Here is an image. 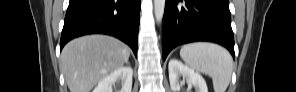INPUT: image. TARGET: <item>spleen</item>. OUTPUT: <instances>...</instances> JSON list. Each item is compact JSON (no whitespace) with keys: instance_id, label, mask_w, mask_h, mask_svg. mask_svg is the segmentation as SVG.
Listing matches in <instances>:
<instances>
[{"instance_id":"3e777b00","label":"spleen","mask_w":296,"mask_h":92,"mask_svg":"<svg viewBox=\"0 0 296 92\" xmlns=\"http://www.w3.org/2000/svg\"><path fill=\"white\" fill-rule=\"evenodd\" d=\"M180 56L192 69L212 78L215 92L226 91L233 67L226 49L213 43H189L181 48Z\"/></svg>"}]
</instances>
